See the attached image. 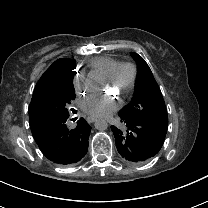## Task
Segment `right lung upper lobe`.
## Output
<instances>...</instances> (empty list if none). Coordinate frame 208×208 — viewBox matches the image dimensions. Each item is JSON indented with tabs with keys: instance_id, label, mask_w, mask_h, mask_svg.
Here are the masks:
<instances>
[{
	"instance_id": "cb5924a9",
	"label": "right lung upper lobe",
	"mask_w": 208,
	"mask_h": 208,
	"mask_svg": "<svg viewBox=\"0 0 208 208\" xmlns=\"http://www.w3.org/2000/svg\"><path fill=\"white\" fill-rule=\"evenodd\" d=\"M75 61L68 59V58H61L56 60L46 71L45 73L41 76V78L39 79L35 89H34V93L32 96V100L30 104H35V101L37 100V94L38 92L46 86V84L48 83V81H50V79H52V77L56 76L57 74H59L61 71H63L64 69H67L68 67H70ZM32 115H33V111L31 110Z\"/></svg>"
}]
</instances>
